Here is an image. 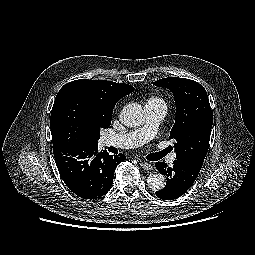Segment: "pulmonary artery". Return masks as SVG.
<instances>
[{
  "instance_id": "obj_1",
  "label": "pulmonary artery",
  "mask_w": 255,
  "mask_h": 255,
  "mask_svg": "<svg viewBox=\"0 0 255 255\" xmlns=\"http://www.w3.org/2000/svg\"><path fill=\"white\" fill-rule=\"evenodd\" d=\"M144 109L145 121L143 125L127 132L107 135L104 139L105 144L122 148H135L151 140L167 113V107L164 104L146 103ZM175 159L176 155L172 153L168 156L167 161L172 164Z\"/></svg>"
}]
</instances>
